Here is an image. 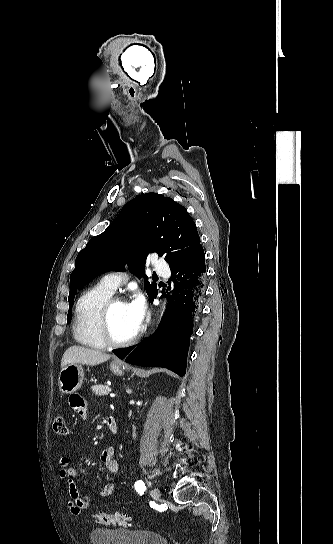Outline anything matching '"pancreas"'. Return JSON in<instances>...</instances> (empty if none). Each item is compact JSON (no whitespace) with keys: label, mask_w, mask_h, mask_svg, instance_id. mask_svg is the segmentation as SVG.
Here are the masks:
<instances>
[{"label":"pancreas","mask_w":333,"mask_h":544,"mask_svg":"<svg viewBox=\"0 0 333 544\" xmlns=\"http://www.w3.org/2000/svg\"><path fill=\"white\" fill-rule=\"evenodd\" d=\"M91 389L93 393L98 396L107 395L111 391L110 387L106 384L94 385L91 387Z\"/></svg>","instance_id":"pancreas-1"}]
</instances>
